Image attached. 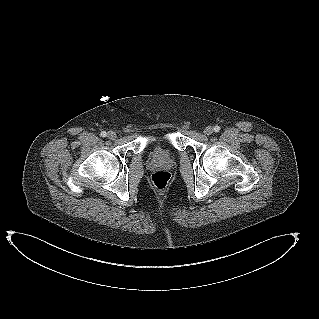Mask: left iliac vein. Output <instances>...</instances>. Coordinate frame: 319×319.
<instances>
[{
	"label": "left iliac vein",
	"instance_id": "left-iliac-vein-1",
	"mask_svg": "<svg viewBox=\"0 0 319 319\" xmlns=\"http://www.w3.org/2000/svg\"><path fill=\"white\" fill-rule=\"evenodd\" d=\"M213 133V128L211 126H208L204 130V134L211 135Z\"/></svg>",
	"mask_w": 319,
	"mask_h": 319
}]
</instances>
